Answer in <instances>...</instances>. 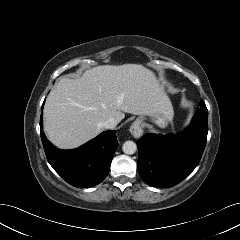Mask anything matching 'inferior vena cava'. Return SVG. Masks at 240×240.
<instances>
[{
    "label": "inferior vena cava",
    "mask_w": 240,
    "mask_h": 240,
    "mask_svg": "<svg viewBox=\"0 0 240 240\" xmlns=\"http://www.w3.org/2000/svg\"><path fill=\"white\" fill-rule=\"evenodd\" d=\"M118 120L114 117H110L102 123L105 129H113L117 126Z\"/></svg>",
    "instance_id": "602c4592"
}]
</instances>
